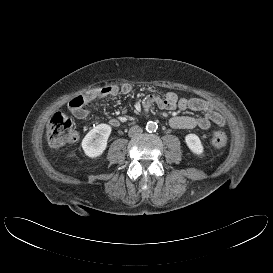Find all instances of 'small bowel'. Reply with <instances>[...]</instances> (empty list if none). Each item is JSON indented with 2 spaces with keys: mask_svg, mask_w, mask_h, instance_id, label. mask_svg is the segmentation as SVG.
<instances>
[{
  "mask_svg": "<svg viewBox=\"0 0 273 273\" xmlns=\"http://www.w3.org/2000/svg\"><path fill=\"white\" fill-rule=\"evenodd\" d=\"M132 91L131 84H123L121 87L107 86L100 90H95L84 96L80 106H74L72 101L69 103L71 114L80 120L86 119L89 116V111L86 106L97 99L105 97H114L118 93L128 94ZM154 106L165 110H174L178 108L180 111L201 112L197 117L187 115H175L170 118L169 124L176 129H193L199 127L207 130L212 124L223 126L225 119L222 113L209 101L202 98H179L174 92H168L164 97L157 95H148L142 104L143 112H148ZM118 119L112 121V125H117Z\"/></svg>",
  "mask_w": 273,
  "mask_h": 273,
  "instance_id": "1",
  "label": "small bowel"
}]
</instances>
